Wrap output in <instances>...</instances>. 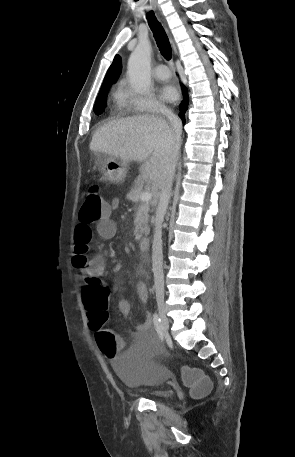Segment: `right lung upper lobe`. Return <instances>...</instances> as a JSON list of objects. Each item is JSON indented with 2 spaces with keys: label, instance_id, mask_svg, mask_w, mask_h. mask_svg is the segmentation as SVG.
Wrapping results in <instances>:
<instances>
[{
  "label": "right lung upper lobe",
  "instance_id": "cb5924a9",
  "mask_svg": "<svg viewBox=\"0 0 295 457\" xmlns=\"http://www.w3.org/2000/svg\"><path fill=\"white\" fill-rule=\"evenodd\" d=\"M122 68L121 58L116 55L113 63L109 67L101 88L110 87L118 78Z\"/></svg>",
  "mask_w": 295,
  "mask_h": 457
}]
</instances>
